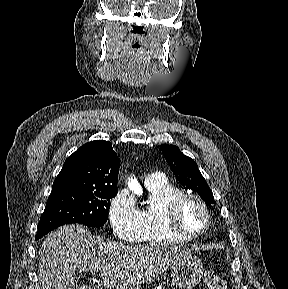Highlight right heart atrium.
<instances>
[{"instance_id":"right-heart-atrium-1","label":"right heart atrium","mask_w":288,"mask_h":289,"mask_svg":"<svg viewBox=\"0 0 288 289\" xmlns=\"http://www.w3.org/2000/svg\"><path fill=\"white\" fill-rule=\"evenodd\" d=\"M108 215L119 239L129 242L140 240L143 228L141 211L127 190H120L111 199Z\"/></svg>"}]
</instances>
